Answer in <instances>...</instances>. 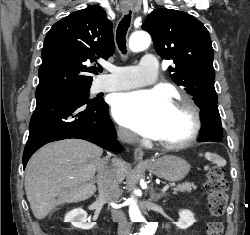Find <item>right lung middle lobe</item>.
<instances>
[{"instance_id": "1", "label": "right lung middle lobe", "mask_w": 250, "mask_h": 235, "mask_svg": "<svg viewBox=\"0 0 250 235\" xmlns=\"http://www.w3.org/2000/svg\"><path fill=\"white\" fill-rule=\"evenodd\" d=\"M89 89H90V87H85L82 89H77V90H73V91H69V92H76V93H80V94H83V95L89 97ZM64 93H66V92H64Z\"/></svg>"}]
</instances>
